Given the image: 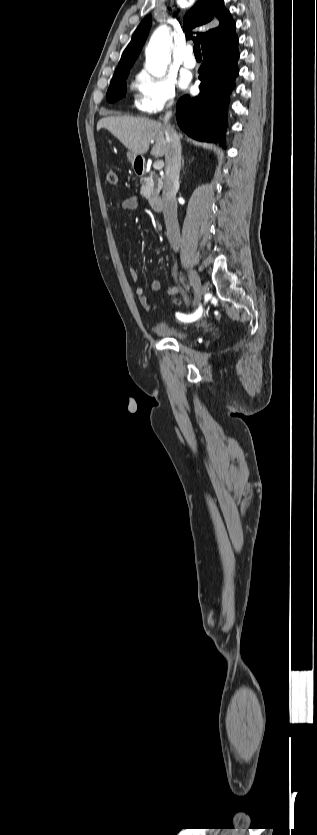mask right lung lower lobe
I'll return each instance as SVG.
<instances>
[{"mask_svg": "<svg viewBox=\"0 0 317 835\" xmlns=\"http://www.w3.org/2000/svg\"><path fill=\"white\" fill-rule=\"evenodd\" d=\"M238 38L236 34L219 38L203 50L204 61L199 68L200 94L182 97L177 103V122L190 137L219 142L225 147L228 96L238 74Z\"/></svg>", "mask_w": 317, "mask_h": 835, "instance_id": "obj_1", "label": "right lung lower lobe"}]
</instances>
